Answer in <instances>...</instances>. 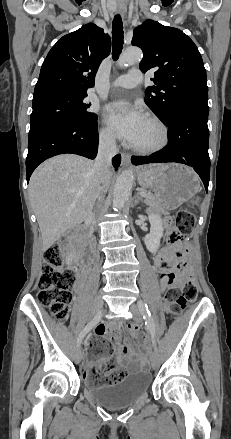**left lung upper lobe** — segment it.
Instances as JSON below:
<instances>
[{"mask_svg":"<svg viewBox=\"0 0 231 439\" xmlns=\"http://www.w3.org/2000/svg\"><path fill=\"white\" fill-rule=\"evenodd\" d=\"M132 45L143 50L141 71L154 73L151 80L155 85L146 89L145 103L160 120L184 104H207L202 57L181 30L146 20L134 29Z\"/></svg>","mask_w":231,"mask_h":439,"instance_id":"5c2ea615","label":"left lung upper lobe"}]
</instances>
